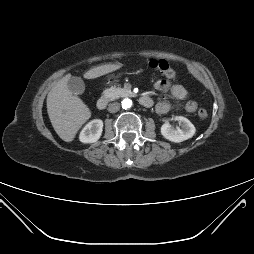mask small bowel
<instances>
[{
    "mask_svg": "<svg viewBox=\"0 0 254 254\" xmlns=\"http://www.w3.org/2000/svg\"><path fill=\"white\" fill-rule=\"evenodd\" d=\"M154 88L160 92H169L177 100H185L188 97V90L181 84H171L168 80L160 79L154 83ZM157 113L165 114L171 109V104L167 101H160L155 107ZM197 103L189 100L185 104V110L189 113L195 112Z\"/></svg>",
    "mask_w": 254,
    "mask_h": 254,
    "instance_id": "c3829d8e",
    "label": "small bowel"
}]
</instances>
